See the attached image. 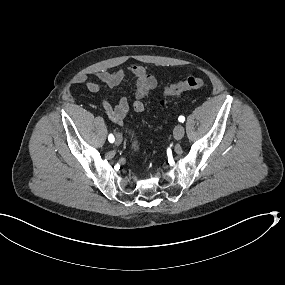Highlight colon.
I'll use <instances>...</instances> for the list:
<instances>
[{
	"mask_svg": "<svg viewBox=\"0 0 285 285\" xmlns=\"http://www.w3.org/2000/svg\"><path fill=\"white\" fill-rule=\"evenodd\" d=\"M205 85L204 79L200 77H188L180 82L166 85L162 91L163 96L171 97L178 96L181 93L189 90L202 88ZM131 146L134 151L140 150V142L134 130H129Z\"/></svg>",
	"mask_w": 285,
	"mask_h": 285,
	"instance_id": "colon-1",
	"label": "colon"
}]
</instances>
